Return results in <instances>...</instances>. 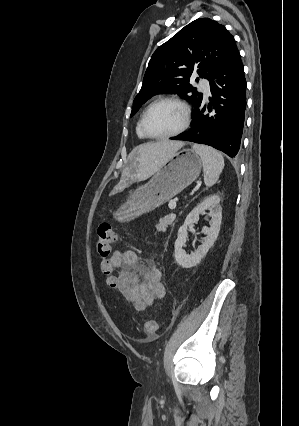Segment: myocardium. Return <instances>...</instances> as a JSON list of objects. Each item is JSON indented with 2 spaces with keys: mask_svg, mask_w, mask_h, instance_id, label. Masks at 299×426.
I'll return each instance as SVG.
<instances>
[{
  "mask_svg": "<svg viewBox=\"0 0 299 426\" xmlns=\"http://www.w3.org/2000/svg\"><path fill=\"white\" fill-rule=\"evenodd\" d=\"M164 102L175 103L179 107H181L183 114H184L183 123H182V125L180 126L179 129H177L176 131H174L172 133L165 134V135H154V134L149 132L147 125H146V121H147L148 115L151 112V110L156 105L164 103ZM190 122H191V108H190L189 104L182 98H179V97H176V96H166V97H162V98L155 100L146 108V110H145V112H144V114L141 118V129H142L143 133L145 134V136H147L148 138L156 139V140H164V139H169V138H173V137L181 135L183 132H185L188 129Z\"/></svg>",
  "mask_w": 299,
  "mask_h": 426,
  "instance_id": "f54148a6",
  "label": "myocardium"
}]
</instances>
